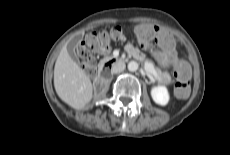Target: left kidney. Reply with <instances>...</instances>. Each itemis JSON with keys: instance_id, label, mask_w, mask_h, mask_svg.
I'll return each instance as SVG.
<instances>
[{"instance_id": "left-kidney-1", "label": "left kidney", "mask_w": 230, "mask_h": 155, "mask_svg": "<svg viewBox=\"0 0 230 155\" xmlns=\"http://www.w3.org/2000/svg\"><path fill=\"white\" fill-rule=\"evenodd\" d=\"M151 96L159 105H166L169 101V93L165 86H156L152 88Z\"/></svg>"}]
</instances>
